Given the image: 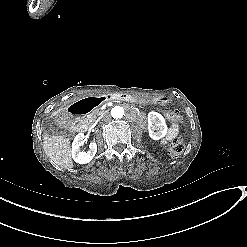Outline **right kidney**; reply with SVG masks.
I'll return each mask as SVG.
<instances>
[{
	"label": "right kidney",
	"mask_w": 247,
	"mask_h": 247,
	"mask_svg": "<svg viewBox=\"0 0 247 247\" xmlns=\"http://www.w3.org/2000/svg\"><path fill=\"white\" fill-rule=\"evenodd\" d=\"M84 145V134L79 133L72 144V156L74 161L77 164H87L89 163L94 157L97 152V143L95 141H90L89 146L90 150L88 152H83L81 147Z\"/></svg>",
	"instance_id": "1"
}]
</instances>
